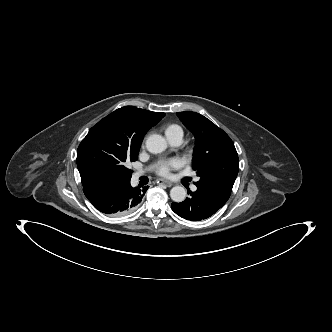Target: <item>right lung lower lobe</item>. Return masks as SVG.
<instances>
[{"mask_svg": "<svg viewBox=\"0 0 332 332\" xmlns=\"http://www.w3.org/2000/svg\"><path fill=\"white\" fill-rule=\"evenodd\" d=\"M130 179H95L83 185V192L100 212L123 216L139 206L148 189V186L133 188Z\"/></svg>", "mask_w": 332, "mask_h": 332, "instance_id": "right-lung-lower-lobe-1", "label": "right lung lower lobe"}]
</instances>
